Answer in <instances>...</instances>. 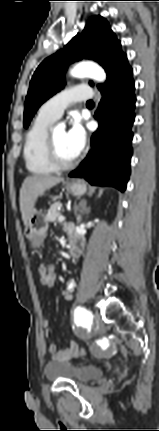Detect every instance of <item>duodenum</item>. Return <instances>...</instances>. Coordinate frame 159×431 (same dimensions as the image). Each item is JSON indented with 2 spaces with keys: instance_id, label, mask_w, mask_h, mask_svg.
<instances>
[{
  "instance_id": "1",
  "label": "duodenum",
  "mask_w": 159,
  "mask_h": 431,
  "mask_svg": "<svg viewBox=\"0 0 159 431\" xmlns=\"http://www.w3.org/2000/svg\"><path fill=\"white\" fill-rule=\"evenodd\" d=\"M69 250L72 257H77L80 255L83 248V240L76 235L73 230L69 231Z\"/></svg>"
}]
</instances>
